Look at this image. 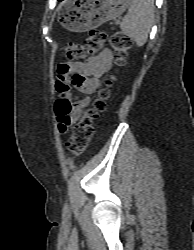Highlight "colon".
I'll use <instances>...</instances> for the list:
<instances>
[{
  "label": "colon",
  "instance_id": "5ec220e1",
  "mask_svg": "<svg viewBox=\"0 0 194 250\" xmlns=\"http://www.w3.org/2000/svg\"><path fill=\"white\" fill-rule=\"evenodd\" d=\"M109 41L113 50L117 66H122L125 62L127 51L131 46L130 37L117 31L109 37L101 31H90L84 42H69L64 46L63 54L69 59H85L87 56L94 54L104 47ZM113 79L107 80L95 96L92 105L84 112L80 120L74 126L72 135L67 142V149L72 155H79L84 152L90 142L94 132V121L99 114L106 110V101L110 95V87ZM57 109L60 110V103H57Z\"/></svg>",
  "mask_w": 194,
  "mask_h": 250
}]
</instances>
